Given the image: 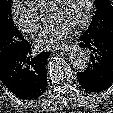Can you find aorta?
<instances>
[{
  "label": "aorta",
  "instance_id": "1",
  "mask_svg": "<svg viewBox=\"0 0 113 113\" xmlns=\"http://www.w3.org/2000/svg\"><path fill=\"white\" fill-rule=\"evenodd\" d=\"M69 56L71 64L77 69L85 70L90 63V56L79 46H73Z\"/></svg>",
  "mask_w": 113,
  "mask_h": 113
}]
</instances>
